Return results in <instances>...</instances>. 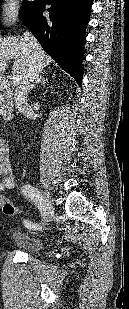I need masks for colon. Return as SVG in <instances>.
I'll use <instances>...</instances> for the list:
<instances>
[{
	"label": "colon",
	"instance_id": "obj_1",
	"mask_svg": "<svg viewBox=\"0 0 129 309\" xmlns=\"http://www.w3.org/2000/svg\"><path fill=\"white\" fill-rule=\"evenodd\" d=\"M3 211L6 214H16V213H20L21 211L19 210V208L9 204V203H4L3 205Z\"/></svg>",
	"mask_w": 129,
	"mask_h": 309
}]
</instances>
